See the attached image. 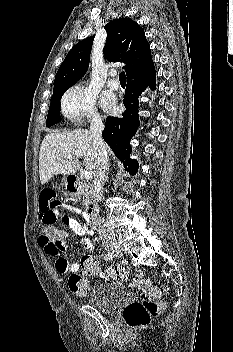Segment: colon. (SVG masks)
I'll use <instances>...</instances> for the list:
<instances>
[{
    "instance_id": "colon-1",
    "label": "colon",
    "mask_w": 233,
    "mask_h": 352,
    "mask_svg": "<svg viewBox=\"0 0 233 352\" xmlns=\"http://www.w3.org/2000/svg\"><path fill=\"white\" fill-rule=\"evenodd\" d=\"M43 235L46 240L58 246L65 243V234L56 228L52 222H42ZM100 273V264L93 255H84L81 259V269L69 276L68 284L70 290L79 298L89 293V278ZM107 279L126 280L128 273L122 265L112 264L101 273ZM133 286L138 289L142 299L130 302L123 310V319L130 328L147 325L153 316H156L166 307V302L161 301L165 293V286L154 283L150 278L144 277L137 272L133 278Z\"/></svg>"
}]
</instances>
